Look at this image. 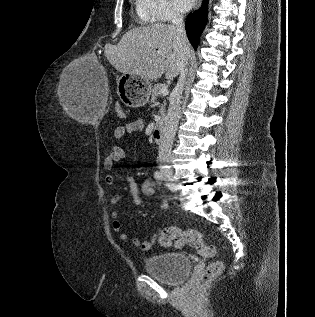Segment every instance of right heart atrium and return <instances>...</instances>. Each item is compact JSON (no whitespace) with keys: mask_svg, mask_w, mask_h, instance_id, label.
<instances>
[{"mask_svg":"<svg viewBox=\"0 0 315 317\" xmlns=\"http://www.w3.org/2000/svg\"><path fill=\"white\" fill-rule=\"evenodd\" d=\"M143 5L154 21H167L177 17V12L168 0H142Z\"/></svg>","mask_w":315,"mask_h":317,"instance_id":"d8ad5b80","label":"right heart atrium"}]
</instances>
